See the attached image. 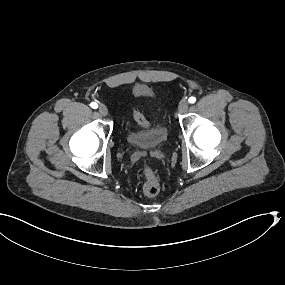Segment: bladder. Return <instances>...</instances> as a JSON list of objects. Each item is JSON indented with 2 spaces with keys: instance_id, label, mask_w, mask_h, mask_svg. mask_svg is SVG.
Wrapping results in <instances>:
<instances>
[{
  "instance_id": "obj_1",
  "label": "bladder",
  "mask_w": 285,
  "mask_h": 285,
  "mask_svg": "<svg viewBox=\"0 0 285 285\" xmlns=\"http://www.w3.org/2000/svg\"><path fill=\"white\" fill-rule=\"evenodd\" d=\"M126 125L123 137L131 145L155 149L168 141L169 127L158 113L155 114L153 124L145 129H138L128 123Z\"/></svg>"
}]
</instances>
